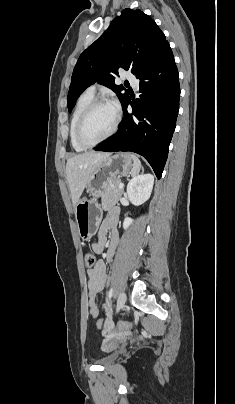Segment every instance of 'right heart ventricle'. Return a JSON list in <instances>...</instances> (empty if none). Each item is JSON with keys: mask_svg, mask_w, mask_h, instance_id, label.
Segmentation results:
<instances>
[{"mask_svg": "<svg viewBox=\"0 0 235 404\" xmlns=\"http://www.w3.org/2000/svg\"><path fill=\"white\" fill-rule=\"evenodd\" d=\"M94 99V94L88 93L87 91L84 92L77 100L74 110L71 115L70 124H69V138L72 147L74 150L80 152L84 151L86 147L82 146L78 143L76 139V126L78 119L84 109L89 105V103Z\"/></svg>", "mask_w": 235, "mask_h": 404, "instance_id": "obj_1", "label": "right heart ventricle"}]
</instances>
